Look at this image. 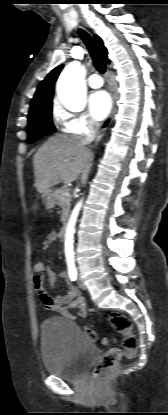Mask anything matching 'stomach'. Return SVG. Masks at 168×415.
<instances>
[{"instance_id":"0dacf381","label":"stomach","mask_w":168,"mask_h":415,"mask_svg":"<svg viewBox=\"0 0 168 415\" xmlns=\"http://www.w3.org/2000/svg\"><path fill=\"white\" fill-rule=\"evenodd\" d=\"M43 204L47 209H52L55 205L54 197L51 191H46L42 194Z\"/></svg>"}]
</instances>
